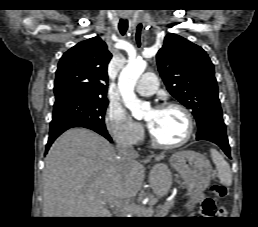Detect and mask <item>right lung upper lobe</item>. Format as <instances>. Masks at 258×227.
<instances>
[{
  "label": "right lung upper lobe",
  "mask_w": 258,
  "mask_h": 227,
  "mask_svg": "<svg viewBox=\"0 0 258 227\" xmlns=\"http://www.w3.org/2000/svg\"><path fill=\"white\" fill-rule=\"evenodd\" d=\"M112 58L99 37L82 41L61 57L56 71L54 93H76L106 98L107 66Z\"/></svg>",
  "instance_id": "right-lung-upper-lobe-1"
}]
</instances>
